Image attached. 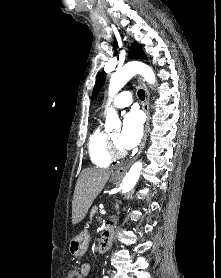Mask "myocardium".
<instances>
[{
  "label": "myocardium",
  "instance_id": "1",
  "mask_svg": "<svg viewBox=\"0 0 221 278\" xmlns=\"http://www.w3.org/2000/svg\"><path fill=\"white\" fill-rule=\"evenodd\" d=\"M107 150L112 159H119L126 155V151L118 147L110 136H108Z\"/></svg>",
  "mask_w": 221,
  "mask_h": 278
}]
</instances>
